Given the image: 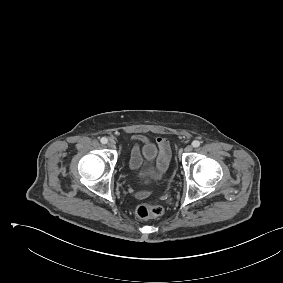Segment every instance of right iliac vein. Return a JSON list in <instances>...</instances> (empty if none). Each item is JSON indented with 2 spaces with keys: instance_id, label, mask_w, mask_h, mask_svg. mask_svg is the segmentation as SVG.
<instances>
[{
  "instance_id": "1",
  "label": "right iliac vein",
  "mask_w": 283,
  "mask_h": 283,
  "mask_svg": "<svg viewBox=\"0 0 283 283\" xmlns=\"http://www.w3.org/2000/svg\"><path fill=\"white\" fill-rule=\"evenodd\" d=\"M107 145L111 149H115L116 148V145H115L114 141H109Z\"/></svg>"
}]
</instances>
